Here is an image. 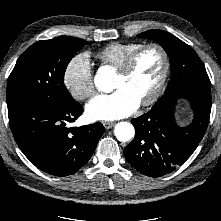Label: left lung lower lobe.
<instances>
[{
  "label": "left lung lower lobe",
  "instance_id": "obj_1",
  "mask_svg": "<svg viewBox=\"0 0 221 221\" xmlns=\"http://www.w3.org/2000/svg\"><path fill=\"white\" fill-rule=\"evenodd\" d=\"M211 87L188 84L166 92L152 109L132 119L135 137L124 149L126 160L143 175L160 177L173 172L195 151L209 123ZM179 97L191 102L194 120L177 126L174 108Z\"/></svg>",
  "mask_w": 221,
  "mask_h": 221
}]
</instances>
